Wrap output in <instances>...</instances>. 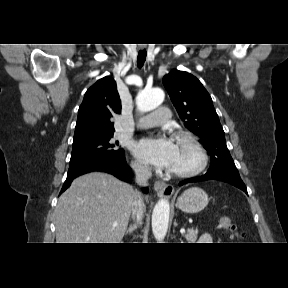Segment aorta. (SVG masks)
Here are the masks:
<instances>
[{"label":"aorta","instance_id":"aorta-1","mask_svg":"<svg viewBox=\"0 0 288 288\" xmlns=\"http://www.w3.org/2000/svg\"><path fill=\"white\" fill-rule=\"evenodd\" d=\"M163 100L164 92L161 89L143 90L136 97V105L139 111L148 112L158 107ZM169 214L168 200H159L152 213V231L157 241H163L167 234Z\"/></svg>","mask_w":288,"mask_h":288}]
</instances>
